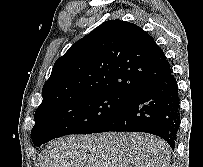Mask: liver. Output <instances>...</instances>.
Wrapping results in <instances>:
<instances>
[{
    "label": "liver",
    "instance_id": "1",
    "mask_svg": "<svg viewBox=\"0 0 203 167\" xmlns=\"http://www.w3.org/2000/svg\"><path fill=\"white\" fill-rule=\"evenodd\" d=\"M170 148L144 133L69 135L49 142L37 167H168Z\"/></svg>",
    "mask_w": 203,
    "mask_h": 167
}]
</instances>
